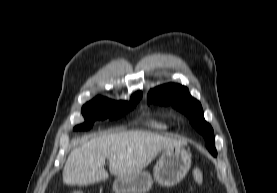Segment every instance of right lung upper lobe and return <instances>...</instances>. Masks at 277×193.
I'll return each instance as SVG.
<instances>
[{"instance_id":"cb5924a9","label":"right lung upper lobe","mask_w":277,"mask_h":193,"mask_svg":"<svg viewBox=\"0 0 277 193\" xmlns=\"http://www.w3.org/2000/svg\"><path fill=\"white\" fill-rule=\"evenodd\" d=\"M135 94H141V92H137V93H135Z\"/></svg>"}]
</instances>
